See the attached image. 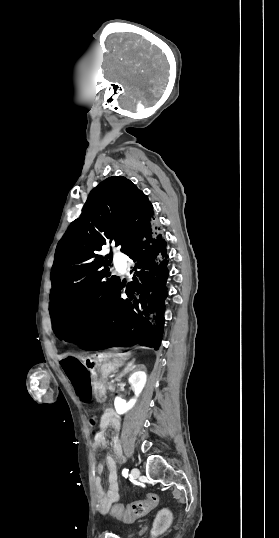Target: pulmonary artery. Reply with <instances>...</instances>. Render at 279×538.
<instances>
[{
  "label": "pulmonary artery",
  "instance_id": "e3ab8cb5",
  "mask_svg": "<svg viewBox=\"0 0 279 538\" xmlns=\"http://www.w3.org/2000/svg\"><path fill=\"white\" fill-rule=\"evenodd\" d=\"M126 269H127L126 267H123V268H122V271H123V272H125V271H126Z\"/></svg>",
  "mask_w": 279,
  "mask_h": 538
}]
</instances>
